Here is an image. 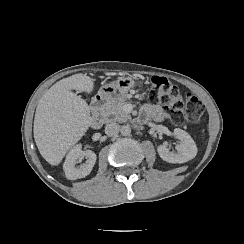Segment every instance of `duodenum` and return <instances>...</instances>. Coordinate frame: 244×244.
I'll return each mask as SVG.
<instances>
[{"mask_svg": "<svg viewBox=\"0 0 244 244\" xmlns=\"http://www.w3.org/2000/svg\"><path fill=\"white\" fill-rule=\"evenodd\" d=\"M112 95L113 94L101 92L94 97L91 104L92 111H93V120H92L93 127L100 126L104 121V114H103L104 106L112 97Z\"/></svg>", "mask_w": 244, "mask_h": 244, "instance_id": "1", "label": "duodenum"}]
</instances>
